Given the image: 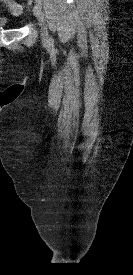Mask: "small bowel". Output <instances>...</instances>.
Segmentation results:
<instances>
[{"label":"small bowel","mask_w":133,"mask_h":275,"mask_svg":"<svg viewBox=\"0 0 133 275\" xmlns=\"http://www.w3.org/2000/svg\"><path fill=\"white\" fill-rule=\"evenodd\" d=\"M4 3L8 4L9 0H2Z\"/></svg>","instance_id":"obj_1"}]
</instances>
